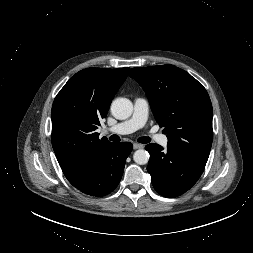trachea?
<instances>
[{"mask_svg": "<svg viewBox=\"0 0 253 253\" xmlns=\"http://www.w3.org/2000/svg\"><path fill=\"white\" fill-rule=\"evenodd\" d=\"M109 140L114 141V142H118V141H120V137L117 135H111L109 137ZM137 141L139 143H148L151 141V139L149 137H139Z\"/></svg>", "mask_w": 253, "mask_h": 253, "instance_id": "obj_1", "label": "trachea"}]
</instances>
